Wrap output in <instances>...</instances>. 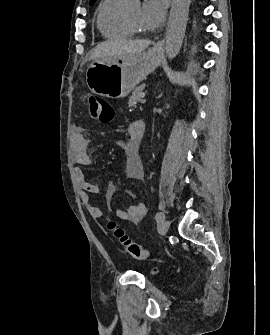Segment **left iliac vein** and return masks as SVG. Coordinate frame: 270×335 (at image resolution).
I'll return each instance as SVG.
<instances>
[{
  "instance_id": "4c4485c4",
  "label": "left iliac vein",
  "mask_w": 270,
  "mask_h": 335,
  "mask_svg": "<svg viewBox=\"0 0 270 335\" xmlns=\"http://www.w3.org/2000/svg\"><path fill=\"white\" fill-rule=\"evenodd\" d=\"M169 227H170V221L169 220H166L164 221L163 225H162V233L163 234H166L169 230Z\"/></svg>"
}]
</instances>
